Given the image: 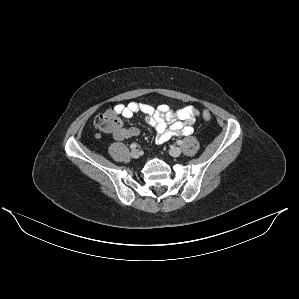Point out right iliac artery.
Returning <instances> with one entry per match:
<instances>
[{
  "label": "right iliac artery",
  "mask_w": 299,
  "mask_h": 299,
  "mask_svg": "<svg viewBox=\"0 0 299 299\" xmlns=\"http://www.w3.org/2000/svg\"><path fill=\"white\" fill-rule=\"evenodd\" d=\"M137 146L138 145L136 143H133V144L130 145V148L135 149V148H137Z\"/></svg>",
  "instance_id": "right-iliac-artery-1"
}]
</instances>
